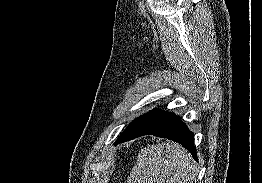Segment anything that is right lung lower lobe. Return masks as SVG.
Returning a JSON list of instances; mask_svg holds the SVG:
<instances>
[{"label": "right lung lower lobe", "instance_id": "1", "mask_svg": "<svg viewBox=\"0 0 262 183\" xmlns=\"http://www.w3.org/2000/svg\"><path fill=\"white\" fill-rule=\"evenodd\" d=\"M148 134L180 143L192 154L196 161L198 160L193 133L181 121L179 116L161 109H153L137 118L118 137L115 145Z\"/></svg>", "mask_w": 262, "mask_h": 183}]
</instances>
